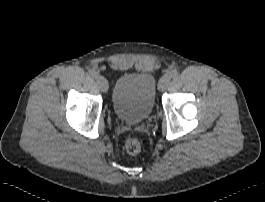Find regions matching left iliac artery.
Masks as SVG:
<instances>
[{
	"instance_id": "44dca946",
	"label": "left iliac artery",
	"mask_w": 265,
	"mask_h": 202,
	"mask_svg": "<svg viewBox=\"0 0 265 202\" xmlns=\"http://www.w3.org/2000/svg\"><path fill=\"white\" fill-rule=\"evenodd\" d=\"M170 76H171V77H176V76H178V71H177L176 69L172 70V71L170 72Z\"/></svg>"
}]
</instances>
